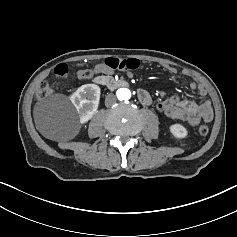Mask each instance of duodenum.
I'll return each instance as SVG.
<instances>
[{
  "label": "duodenum",
  "instance_id": "obj_1",
  "mask_svg": "<svg viewBox=\"0 0 237 237\" xmlns=\"http://www.w3.org/2000/svg\"><path fill=\"white\" fill-rule=\"evenodd\" d=\"M94 83L110 89L128 86V82L122 79H114L106 75H98L94 78Z\"/></svg>",
  "mask_w": 237,
  "mask_h": 237
}]
</instances>
